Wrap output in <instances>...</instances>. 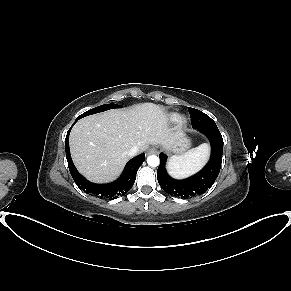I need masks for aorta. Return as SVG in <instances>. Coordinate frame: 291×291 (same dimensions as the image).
<instances>
[{"label":"aorta","instance_id":"1","mask_svg":"<svg viewBox=\"0 0 291 291\" xmlns=\"http://www.w3.org/2000/svg\"><path fill=\"white\" fill-rule=\"evenodd\" d=\"M147 163L149 166L151 167H156L159 165L160 163V160H159V157H157L156 155H150L148 158H147Z\"/></svg>","mask_w":291,"mask_h":291}]
</instances>
